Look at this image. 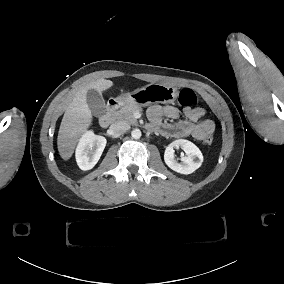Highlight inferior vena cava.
<instances>
[{"label": "inferior vena cava", "instance_id": "602c4592", "mask_svg": "<svg viewBox=\"0 0 284 284\" xmlns=\"http://www.w3.org/2000/svg\"><path fill=\"white\" fill-rule=\"evenodd\" d=\"M130 129L129 124L123 122V121H118L116 123L111 124L109 127V133L111 134H124Z\"/></svg>", "mask_w": 284, "mask_h": 284}]
</instances>
